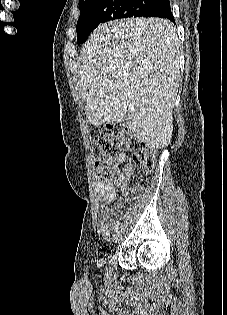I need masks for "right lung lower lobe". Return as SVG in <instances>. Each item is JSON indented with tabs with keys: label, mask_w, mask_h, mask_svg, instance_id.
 Segmentation results:
<instances>
[{
	"label": "right lung lower lobe",
	"mask_w": 227,
	"mask_h": 315,
	"mask_svg": "<svg viewBox=\"0 0 227 315\" xmlns=\"http://www.w3.org/2000/svg\"><path fill=\"white\" fill-rule=\"evenodd\" d=\"M142 17H161L174 22L169 0H158L150 9L146 10Z\"/></svg>",
	"instance_id": "1"
}]
</instances>
